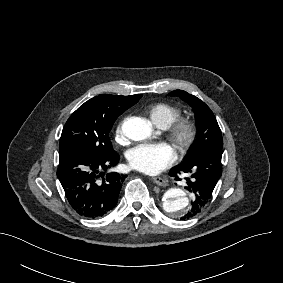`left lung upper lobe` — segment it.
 Returning <instances> with one entry per match:
<instances>
[{
	"mask_svg": "<svg viewBox=\"0 0 283 283\" xmlns=\"http://www.w3.org/2000/svg\"><path fill=\"white\" fill-rule=\"evenodd\" d=\"M170 95L178 96L189 103L195 113L197 126L196 139L184 163L192 161L206 151L222 149L223 140L221 130L210 108L199 98L183 90L173 91Z\"/></svg>",
	"mask_w": 283,
	"mask_h": 283,
	"instance_id": "5c2ea615",
	"label": "left lung upper lobe"
}]
</instances>
